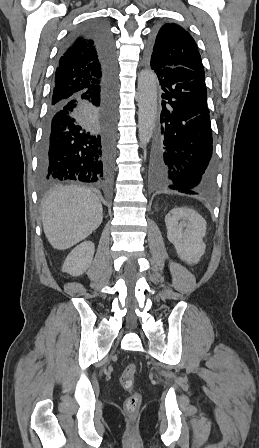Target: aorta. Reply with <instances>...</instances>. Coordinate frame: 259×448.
<instances>
[{"label": "aorta", "mask_w": 259, "mask_h": 448, "mask_svg": "<svg viewBox=\"0 0 259 448\" xmlns=\"http://www.w3.org/2000/svg\"><path fill=\"white\" fill-rule=\"evenodd\" d=\"M138 108V133L143 148L152 137L157 114V78L148 69L138 76Z\"/></svg>", "instance_id": "obj_1"}]
</instances>
